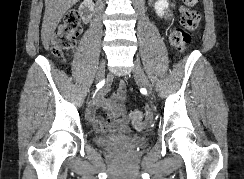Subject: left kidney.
I'll return each instance as SVG.
<instances>
[{
  "mask_svg": "<svg viewBox=\"0 0 244 179\" xmlns=\"http://www.w3.org/2000/svg\"><path fill=\"white\" fill-rule=\"evenodd\" d=\"M157 16H164V10L169 8L168 0H157L154 4Z\"/></svg>",
  "mask_w": 244,
  "mask_h": 179,
  "instance_id": "1",
  "label": "left kidney"
}]
</instances>
